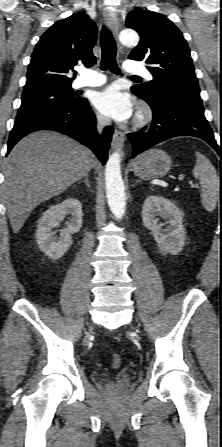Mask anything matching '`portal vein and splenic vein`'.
I'll list each match as a JSON object with an SVG mask.
<instances>
[{
	"label": "portal vein and splenic vein",
	"mask_w": 222,
	"mask_h": 447,
	"mask_svg": "<svg viewBox=\"0 0 222 447\" xmlns=\"http://www.w3.org/2000/svg\"><path fill=\"white\" fill-rule=\"evenodd\" d=\"M179 180H180V181L183 180V176H182V175L179 176ZM190 186H191V188H197V187H198V185L195 184V183H193V182L190 183Z\"/></svg>",
	"instance_id": "obj_1"
}]
</instances>
